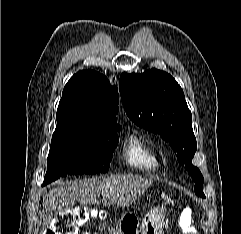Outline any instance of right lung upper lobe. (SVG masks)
<instances>
[{"instance_id":"cb5924a9","label":"right lung upper lobe","mask_w":241,"mask_h":234,"mask_svg":"<svg viewBox=\"0 0 241 234\" xmlns=\"http://www.w3.org/2000/svg\"><path fill=\"white\" fill-rule=\"evenodd\" d=\"M119 95L108 79L93 70L79 71L64 87L57 114L73 117L86 127L111 128L116 124Z\"/></svg>"}]
</instances>
